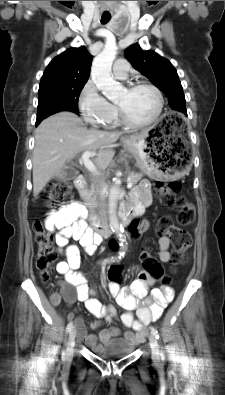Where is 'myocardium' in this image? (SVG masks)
I'll return each mask as SVG.
<instances>
[{"label":"myocardium","mask_w":225,"mask_h":395,"mask_svg":"<svg viewBox=\"0 0 225 395\" xmlns=\"http://www.w3.org/2000/svg\"><path fill=\"white\" fill-rule=\"evenodd\" d=\"M139 88L150 89L155 94V97L157 100V107H156L155 113L153 114V116L150 119H148L147 121H143V122H135V121L130 120L127 117V115L125 114L124 110L119 105H117L121 122L124 125H126L128 127H132V128H143V127H148V126L154 124L160 117L162 110H163V105H164L163 96H162L161 91L155 85H153L151 83H148L145 81H138V82L131 83L130 85H128L126 87V89L129 91H133V90H136Z\"/></svg>","instance_id":"obj_1"}]
</instances>
